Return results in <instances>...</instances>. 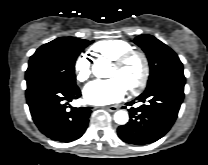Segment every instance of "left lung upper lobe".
<instances>
[{
    "label": "left lung upper lobe",
    "mask_w": 208,
    "mask_h": 165,
    "mask_svg": "<svg viewBox=\"0 0 208 165\" xmlns=\"http://www.w3.org/2000/svg\"><path fill=\"white\" fill-rule=\"evenodd\" d=\"M134 43L143 49L149 61L150 76L146 89L167 78L184 77L177 54L154 36L139 35Z\"/></svg>",
    "instance_id": "obj_1"
}]
</instances>
